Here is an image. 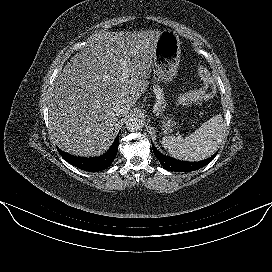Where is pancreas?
Masks as SVG:
<instances>
[{"label":"pancreas","mask_w":272,"mask_h":272,"mask_svg":"<svg viewBox=\"0 0 272 272\" xmlns=\"http://www.w3.org/2000/svg\"><path fill=\"white\" fill-rule=\"evenodd\" d=\"M153 92L157 98V111L159 114H162L166 103L164 91L159 85L155 84L153 85Z\"/></svg>","instance_id":"obj_1"}]
</instances>
